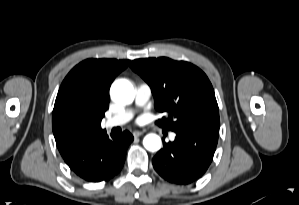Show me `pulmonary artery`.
<instances>
[{"instance_id": "pulmonary-artery-1", "label": "pulmonary artery", "mask_w": 299, "mask_h": 205, "mask_svg": "<svg viewBox=\"0 0 299 205\" xmlns=\"http://www.w3.org/2000/svg\"><path fill=\"white\" fill-rule=\"evenodd\" d=\"M151 94H152L151 88L148 84H146V83L139 84L137 86L136 92H135L136 106H138V107L144 106L149 101ZM133 115H134L133 110H131V109L124 110V111L116 114L115 116L107 119L105 121L104 125L108 129L122 126V125L126 124L127 122H129L132 119Z\"/></svg>"}]
</instances>
